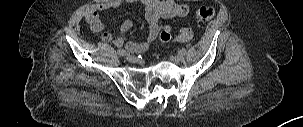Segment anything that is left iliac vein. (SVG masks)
Segmentation results:
<instances>
[{
  "mask_svg": "<svg viewBox=\"0 0 303 127\" xmlns=\"http://www.w3.org/2000/svg\"><path fill=\"white\" fill-rule=\"evenodd\" d=\"M173 60L177 63L182 62V61H184V57L182 55L178 54L177 56L173 57Z\"/></svg>",
  "mask_w": 303,
  "mask_h": 127,
  "instance_id": "1",
  "label": "left iliac vein"
}]
</instances>
